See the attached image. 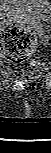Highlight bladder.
<instances>
[{"label": "bladder", "mask_w": 51, "mask_h": 153, "mask_svg": "<svg viewBox=\"0 0 51 153\" xmlns=\"http://www.w3.org/2000/svg\"><path fill=\"white\" fill-rule=\"evenodd\" d=\"M0 12L23 21L47 22L51 18L49 0H0Z\"/></svg>", "instance_id": "obj_1"}]
</instances>
